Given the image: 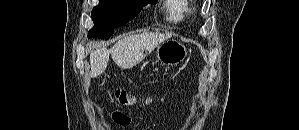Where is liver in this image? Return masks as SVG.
I'll use <instances>...</instances> for the list:
<instances>
[{
    "instance_id": "6515ba94",
    "label": "liver",
    "mask_w": 299,
    "mask_h": 130,
    "mask_svg": "<svg viewBox=\"0 0 299 130\" xmlns=\"http://www.w3.org/2000/svg\"><path fill=\"white\" fill-rule=\"evenodd\" d=\"M171 36V34L146 32L126 36L116 42L111 49L95 47L90 54V76H99L106 70L110 54L118 67L131 69L144 59V51L151 52Z\"/></svg>"
}]
</instances>
